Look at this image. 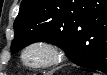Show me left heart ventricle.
Here are the masks:
<instances>
[{
  "instance_id": "1",
  "label": "left heart ventricle",
  "mask_w": 107,
  "mask_h": 75,
  "mask_svg": "<svg viewBox=\"0 0 107 75\" xmlns=\"http://www.w3.org/2000/svg\"><path fill=\"white\" fill-rule=\"evenodd\" d=\"M27 59L31 63H40L47 59V55L39 50L32 51L28 54Z\"/></svg>"
}]
</instances>
